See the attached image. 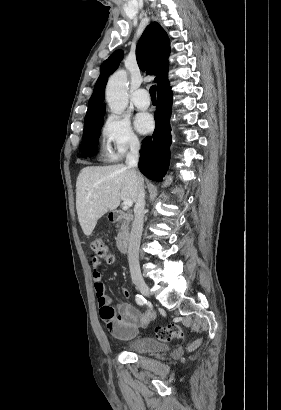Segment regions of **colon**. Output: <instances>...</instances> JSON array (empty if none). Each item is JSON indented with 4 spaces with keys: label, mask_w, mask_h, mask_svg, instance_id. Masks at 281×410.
Masks as SVG:
<instances>
[{
    "label": "colon",
    "mask_w": 281,
    "mask_h": 410,
    "mask_svg": "<svg viewBox=\"0 0 281 410\" xmlns=\"http://www.w3.org/2000/svg\"><path fill=\"white\" fill-rule=\"evenodd\" d=\"M91 248L97 257L104 258L107 262H115V257L109 252L105 243L101 239H95L91 243ZM103 313L106 315L104 323L110 330L113 327V312L111 310H104ZM155 336L158 340L162 342H171L175 340H181L183 338V331L179 325L169 324L165 326H158L155 328ZM199 341H194L190 344L189 349L194 350L198 347Z\"/></svg>",
    "instance_id": "5ec220e1"
}]
</instances>
